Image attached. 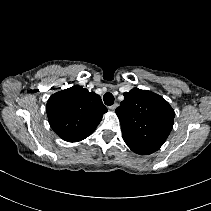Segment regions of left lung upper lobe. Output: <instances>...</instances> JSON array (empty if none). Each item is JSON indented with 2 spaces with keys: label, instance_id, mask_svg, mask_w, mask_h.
I'll return each mask as SVG.
<instances>
[{
  "label": "left lung upper lobe",
  "instance_id": "5c2ea615",
  "mask_svg": "<svg viewBox=\"0 0 211 211\" xmlns=\"http://www.w3.org/2000/svg\"><path fill=\"white\" fill-rule=\"evenodd\" d=\"M116 109L122 137L135 153L147 155L157 151L169 136L174 123V110L160 95L132 89L123 94Z\"/></svg>",
  "mask_w": 211,
  "mask_h": 211
}]
</instances>
